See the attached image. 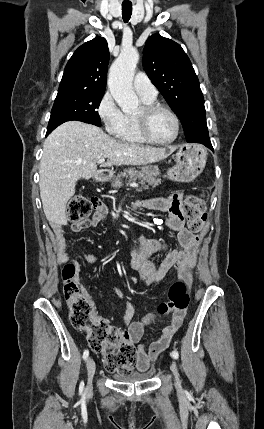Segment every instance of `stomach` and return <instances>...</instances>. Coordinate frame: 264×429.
Returning <instances> with one entry per match:
<instances>
[{
	"label": "stomach",
	"instance_id": "stomach-1",
	"mask_svg": "<svg viewBox=\"0 0 264 429\" xmlns=\"http://www.w3.org/2000/svg\"><path fill=\"white\" fill-rule=\"evenodd\" d=\"M207 159V152L203 146L198 144H182L176 153V164L168 170L167 177L177 182H191L204 169ZM142 175L156 177L160 174L156 165H145L140 169ZM113 172L110 170H100L96 173L98 181L111 180ZM117 188L121 186L120 180L115 179L112 184Z\"/></svg>",
	"mask_w": 264,
	"mask_h": 429
}]
</instances>
